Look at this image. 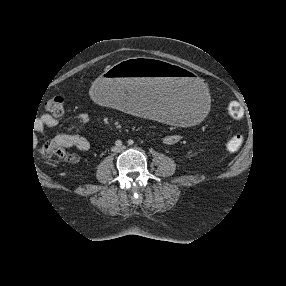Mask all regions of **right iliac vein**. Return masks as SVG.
Wrapping results in <instances>:
<instances>
[{
    "mask_svg": "<svg viewBox=\"0 0 286 286\" xmlns=\"http://www.w3.org/2000/svg\"><path fill=\"white\" fill-rule=\"evenodd\" d=\"M113 151L117 152V151H118V149H117V148H114V149H113Z\"/></svg>",
    "mask_w": 286,
    "mask_h": 286,
    "instance_id": "obj_1",
    "label": "right iliac vein"
}]
</instances>
